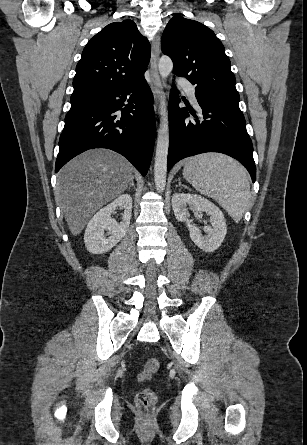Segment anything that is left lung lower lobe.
I'll use <instances>...</instances> for the list:
<instances>
[{"mask_svg": "<svg viewBox=\"0 0 307 445\" xmlns=\"http://www.w3.org/2000/svg\"><path fill=\"white\" fill-rule=\"evenodd\" d=\"M197 100L205 121L187 119L188 110L197 118L195 111L178 107L179 97L176 90L170 94L167 169H171L176 162L188 156L204 152H220L240 161L255 182L253 146L239 107L198 98Z\"/></svg>", "mask_w": 307, "mask_h": 445, "instance_id": "1", "label": "left lung lower lobe"}]
</instances>
